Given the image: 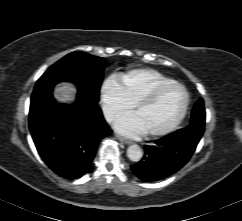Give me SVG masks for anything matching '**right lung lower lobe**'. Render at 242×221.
Returning a JSON list of instances; mask_svg holds the SVG:
<instances>
[{
    "mask_svg": "<svg viewBox=\"0 0 242 221\" xmlns=\"http://www.w3.org/2000/svg\"><path fill=\"white\" fill-rule=\"evenodd\" d=\"M73 105H59L48 93L31 100L29 128L47 166L67 179L90 168L101 139L112 131L97 104L78 93Z\"/></svg>",
    "mask_w": 242,
    "mask_h": 221,
    "instance_id": "obj_1",
    "label": "right lung lower lobe"
}]
</instances>
